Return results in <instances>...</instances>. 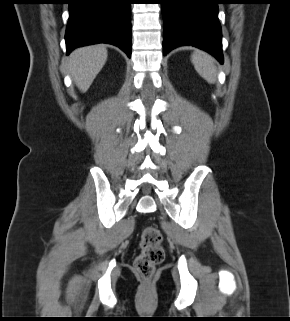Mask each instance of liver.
Masks as SVG:
<instances>
[{"instance_id": "1", "label": "liver", "mask_w": 290, "mask_h": 321, "mask_svg": "<svg viewBox=\"0 0 290 321\" xmlns=\"http://www.w3.org/2000/svg\"><path fill=\"white\" fill-rule=\"evenodd\" d=\"M107 60L104 45H91L74 50L68 58V69L81 92H86Z\"/></svg>"}]
</instances>
